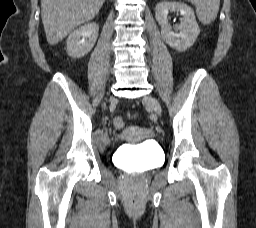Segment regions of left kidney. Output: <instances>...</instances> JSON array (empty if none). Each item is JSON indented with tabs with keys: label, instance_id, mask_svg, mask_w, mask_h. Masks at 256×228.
I'll return each instance as SVG.
<instances>
[{
	"label": "left kidney",
	"instance_id": "5707ae66",
	"mask_svg": "<svg viewBox=\"0 0 256 228\" xmlns=\"http://www.w3.org/2000/svg\"><path fill=\"white\" fill-rule=\"evenodd\" d=\"M174 11L179 12L183 16L181 24L175 28L179 33L172 31L168 23V14ZM155 17L161 26L162 38L170 47L177 51H185L190 48L200 33L192 8L184 3L160 2L156 5Z\"/></svg>",
	"mask_w": 256,
	"mask_h": 228
}]
</instances>
